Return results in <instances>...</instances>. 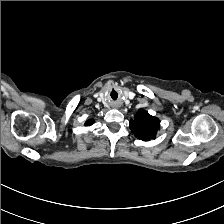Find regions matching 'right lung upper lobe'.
Returning <instances> with one entry per match:
<instances>
[{
  "label": "right lung upper lobe",
  "mask_w": 224,
  "mask_h": 224,
  "mask_svg": "<svg viewBox=\"0 0 224 224\" xmlns=\"http://www.w3.org/2000/svg\"><path fill=\"white\" fill-rule=\"evenodd\" d=\"M94 123L93 119H89L88 121H86L85 126H91Z\"/></svg>",
  "instance_id": "right-lung-upper-lobe-1"
}]
</instances>
